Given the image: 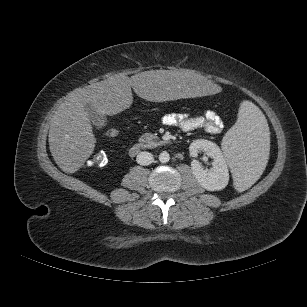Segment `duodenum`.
Listing matches in <instances>:
<instances>
[{"instance_id": "obj_1", "label": "duodenum", "mask_w": 307, "mask_h": 307, "mask_svg": "<svg viewBox=\"0 0 307 307\" xmlns=\"http://www.w3.org/2000/svg\"><path fill=\"white\" fill-rule=\"evenodd\" d=\"M169 144V141L163 138H157L153 140L140 141L133 144L129 149V154L134 157L140 152L150 148H157L163 145Z\"/></svg>"}]
</instances>
